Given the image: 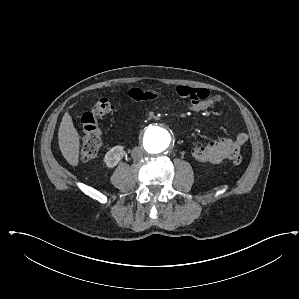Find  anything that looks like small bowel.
I'll return each instance as SVG.
<instances>
[{"mask_svg":"<svg viewBox=\"0 0 299 299\" xmlns=\"http://www.w3.org/2000/svg\"><path fill=\"white\" fill-rule=\"evenodd\" d=\"M176 94L180 98L188 100L187 107L193 112L205 111L222 101L221 96L211 95L206 89L192 88L186 85L177 86ZM129 95L136 101H152L158 98L155 91L139 88H132ZM247 141L248 135L242 132L234 139L221 138L206 145L195 147L191 150V155L199 162L218 164L238 155Z\"/></svg>","mask_w":299,"mask_h":299,"instance_id":"small-bowel-1","label":"small bowel"}]
</instances>
